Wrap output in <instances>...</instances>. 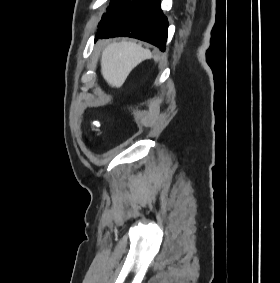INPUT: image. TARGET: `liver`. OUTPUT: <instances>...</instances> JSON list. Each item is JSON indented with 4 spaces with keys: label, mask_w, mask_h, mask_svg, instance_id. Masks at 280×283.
Here are the masks:
<instances>
[{
    "label": "liver",
    "mask_w": 280,
    "mask_h": 283,
    "mask_svg": "<svg viewBox=\"0 0 280 283\" xmlns=\"http://www.w3.org/2000/svg\"><path fill=\"white\" fill-rule=\"evenodd\" d=\"M149 57L151 52L134 42H113L102 52V76L111 87L119 88L132 69Z\"/></svg>",
    "instance_id": "1"
}]
</instances>
